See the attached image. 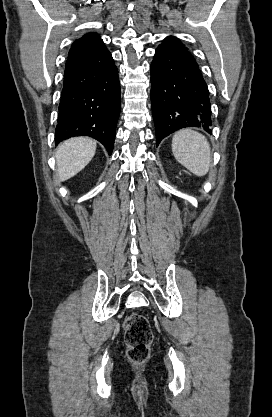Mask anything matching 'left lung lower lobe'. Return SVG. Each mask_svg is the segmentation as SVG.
<instances>
[{
    "mask_svg": "<svg viewBox=\"0 0 272 417\" xmlns=\"http://www.w3.org/2000/svg\"><path fill=\"white\" fill-rule=\"evenodd\" d=\"M151 106L156 144L184 127L212 131L208 87L187 50L158 47L151 64Z\"/></svg>",
    "mask_w": 272,
    "mask_h": 417,
    "instance_id": "left-lung-lower-lobe-1",
    "label": "left lung lower lobe"
}]
</instances>
